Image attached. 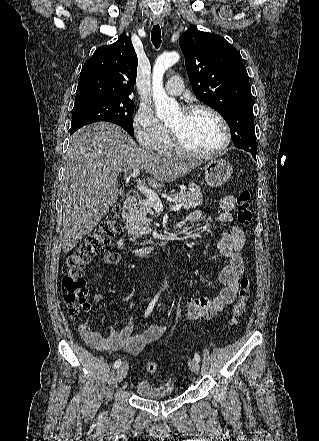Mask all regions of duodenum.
Returning <instances> with one entry per match:
<instances>
[{
	"label": "duodenum",
	"mask_w": 319,
	"mask_h": 441,
	"mask_svg": "<svg viewBox=\"0 0 319 441\" xmlns=\"http://www.w3.org/2000/svg\"><path fill=\"white\" fill-rule=\"evenodd\" d=\"M138 203V200L135 196H129L123 206H122V219L125 222L128 217L130 216L131 212L136 208ZM175 236L174 230L169 231L155 239H150L147 240L145 242H143L141 245L137 246L134 250L133 253L136 257L141 258V257H145L148 254H150L151 252H153L155 249L161 248L164 245H166L167 243H169L171 240H173ZM120 244L122 243V241L119 242Z\"/></svg>",
	"instance_id": "duodenum-1"
}]
</instances>
